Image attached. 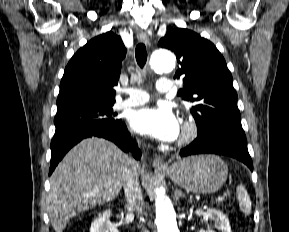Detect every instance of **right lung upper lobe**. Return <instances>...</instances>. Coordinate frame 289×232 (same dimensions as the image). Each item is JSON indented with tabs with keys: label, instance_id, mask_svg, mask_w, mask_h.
<instances>
[{
	"label": "right lung upper lobe",
	"instance_id": "obj_1",
	"mask_svg": "<svg viewBox=\"0 0 289 232\" xmlns=\"http://www.w3.org/2000/svg\"><path fill=\"white\" fill-rule=\"evenodd\" d=\"M126 48L109 31L90 40L77 51L65 68L57 109L77 104H114L121 62Z\"/></svg>",
	"mask_w": 289,
	"mask_h": 232
}]
</instances>
